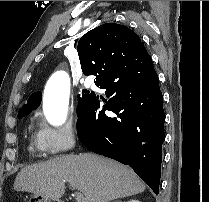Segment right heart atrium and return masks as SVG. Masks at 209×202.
Wrapping results in <instances>:
<instances>
[{
	"label": "right heart atrium",
	"mask_w": 209,
	"mask_h": 202,
	"mask_svg": "<svg viewBox=\"0 0 209 202\" xmlns=\"http://www.w3.org/2000/svg\"><path fill=\"white\" fill-rule=\"evenodd\" d=\"M38 147L50 155H58L72 149L76 142V127L72 122L53 127L43 122L36 134Z\"/></svg>",
	"instance_id": "1"
}]
</instances>
